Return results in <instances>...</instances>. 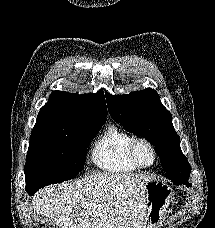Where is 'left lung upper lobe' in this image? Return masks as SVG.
Segmentation results:
<instances>
[{
  "mask_svg": "<svg viewBox=\"0 0 215 228\" xmlns=\"http://www.w3.org/2000/svg\"><path fill=\"white\" fill-rule=\"evenodd\" d=\"M105 96L112 118L156 147L165 176L172 182L188 180L191 167L181 152L171 113L161 104L158 93L148 88L128 95L106 92Z\"/></svg>",
  "mask_w": 215,
  "mask_h": 228,
  "instance_id": "obj_1",
  "label": "left lung upper lobe"
}]
</instances>
